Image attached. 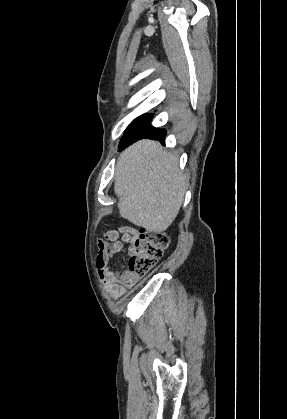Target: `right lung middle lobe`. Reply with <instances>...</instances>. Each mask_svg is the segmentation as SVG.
Wrapping results in <instances>:
<instances>
[{"label": "right lung middle lobe", "mask_w": 287, "mask_h": 419, "mask_svg": "<svg viewBox=\"0 0 287 419\" xmlns=\"http://www.w3.org/2000/svg\"><path fill=\"white\" fill-rule=\"evenodd\" d=\"M153 114H143L133 120L126 128L124 135L120 141L119 149H123L130 144L136 137L146 132L151 127Z\"/></svg>", "instance_id": "dd1d6c3e"}]
</instances>
